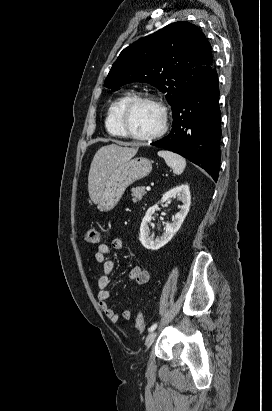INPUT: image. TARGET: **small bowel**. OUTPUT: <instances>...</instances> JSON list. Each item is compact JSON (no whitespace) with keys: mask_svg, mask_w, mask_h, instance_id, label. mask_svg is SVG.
<instances>
[{"mask_svg":"<svg viewBox=\"0 0 272 411\" xmlns=\"http://www.w3.org/2000/svg\"><path fill=\"white\" fill-rule=\"evenodd\" d=\"M112 248L114 250H121L123 248V241L119 238L114 239L112 241ZM110 252L111 247L104 243L100 244L96 250V261L102 265V274L98 278L99 290L97 296L100 309L111 322L115 323L120 317L128 320L131 317V311L128 308H124L121 315H119L107 302L110 298V277L115 267L114 260L109 257ZM129 278L137 284L143 285L149 282L150 273L142 266H134L129 272Z\"/></svg>","mask_w":272,"mask_h":411,"instance_id":"1","label":"small bowel"}]
</instances>
